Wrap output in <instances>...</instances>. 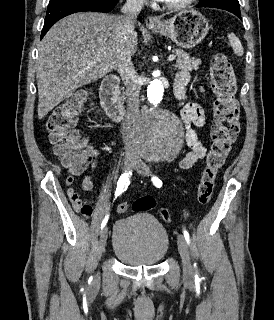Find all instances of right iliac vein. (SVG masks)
Instances as JSON below:
<instances>
[{"instance_id": "obj_1", "label": "right iliac vein", "mask_w": 274, "mask_h": 320, "mask_svg": "<svg viewBox=\"0 0 274 320\" xmlns=\"http://www.w3.org/2000/svg\"><path fill=\"white\" fill-rule=\"evenodd\" d=\"M137 161L133 158L127 157L124 161L123 164V168L126 172H128L129 170H131L135 165H136ZM107 238H108V228L105 227L100 234V239H99V247H98V253L102 254L105 250V246H106V242H107ZM99 281H100V277L99 275H96L95 279H94V286H98L99 285Z\"/></svg>"}]
</instances>
